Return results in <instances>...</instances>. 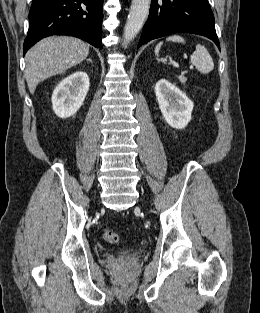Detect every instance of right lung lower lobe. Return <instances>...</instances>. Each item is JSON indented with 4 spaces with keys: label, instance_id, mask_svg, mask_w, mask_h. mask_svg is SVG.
Instances as JSON below:
<instances>
[{
    "label": "right lung lower lobe",
    "instance_id": "98d812e1",
    "mask_svg": "<svg viewBox=\"0 0 260 313\" xmlns=\"http://www.w3.org/2000/svg\"><path fill=\"white\" fill-rule=\"evenodd\" d=\"M103 0H33L24 54L40 39L70 35L102 48Z\"/></svg>",
    "mask_w": 260,
    "mask_h": 313
}]
</instances>
